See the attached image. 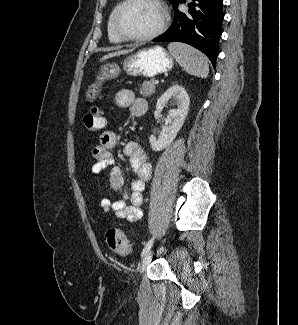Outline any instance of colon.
I'll return each instance as SVG.
<instances>
[{
    "label": "colon",
    "mask_w": 298,
    "mask_h": 325,
    "mask_svg": "<svg viewBox=\"0 0 298 325\" xmlns=\"http://www.w3.org/2000/svg\"><path fill=\"white\" fill-rule=\"evenodd\" d=\"M83 123L88 133H96L105 126L103 112L96 106L92 107L84 115ZM105 241L108 247L120 256H126L131 252V246L126 234L117 228H109L105 233Z\"/></svg>",
    "instance_id": "obj_1"
}]
</instances>
